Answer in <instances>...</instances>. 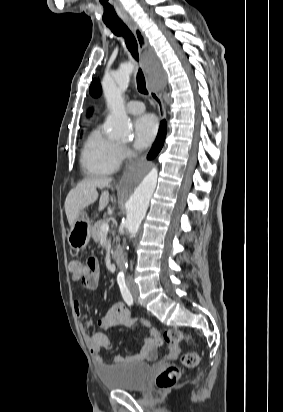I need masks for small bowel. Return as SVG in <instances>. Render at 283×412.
Returning <instances> with one entry per match:
<instances>
[{
    "label": "small bowel",
    "mask_w": 283,
    "mask_h": 412,
    "mask_svg": "<svg viewBox=\"0 0 283 412\" xmlns=\"http://www.w3.org/2000/svg\"><path fill=\"white\" fill-rule=\"evenodd\" d=\"M83 286L90 291H95L100 285V271L99 267L93 273L86 275L82 279ZM73 307L75 314L78 318L83 317V306L79 300H74ZM140 324L149 330L152 336L159 335V331L151 329V324L146 319H136L131 316L129 309L122 303L118 302L110 307L106 313L97 319V326L102 329H111L121 325L134 326ZM82 332L85 340L90 348L91 355L99 368V371H103L106 367L104 359L101 356V350H110L112 344L108 337L100 332L90 333L85 325L82 326ZM180 349L176 345H171L168 348L167 358L174 359L178 356ZM155 356V345L151 338L144 340L141 351L138 354L132 356H115L113 361L117 364L122 363H136L142 361H150Z\"/></svg>",
    "instance_id": "c3829d8e"
}]
</instances>
